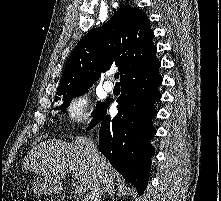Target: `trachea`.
Listing matches in <instances>:
<instances>
[{
  "label": "trachea",
  "instance_id": "3493384b",
  "mask_svg": "<svg viewBox=\"0 0 221 201\" xmlns=\"http://www.w3.org/2000/svg\"><path fill=\"white\" fill-rule=\"evenodd\" d=\"M114 78H115V79H118V78H119V73H116V74L114 75Z\"/></svg>",
  "mask_w": 221,
  "mask_h": 201
}]
</instances>
